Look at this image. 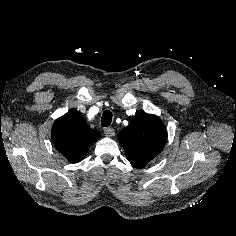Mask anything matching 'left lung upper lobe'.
Segmentation results:
<instances>
[{
    "instance_id": "1",
    "label": "left lung upper lobe",
    "mask_w": 236,
    "mask_h": 236,
    "mask_svg": "<svg viewBox=\"0 0 236 236\" xmlns=\"http://www.w3.org/2000/svg\"><path fill=\"white\" fill-rule=\"evenodd\" d=\"M118 140L128 161L142 168L162 151L167 134L157 116L141 113L131 118L130 124L119 133Z\"/></svg>"
}]
</instances>
